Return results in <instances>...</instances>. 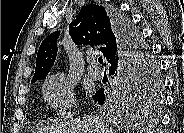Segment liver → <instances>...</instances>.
<instances>
[{
    "label": "liver",
    "mask_w": 184,
    "mask_h": 133,
    "mask_svg": "<svg viewBox=\"0 0 184 133\" xmlns=\"http://www.w3.org/2000/svg\"><path fill=\"white\" fill-rule=\"evenodd\" d=\"M143 130L145 129L142 128ZM113 131L109 128L107 121L90 115L71 119V121L63 122L56 127L43 129L44 133H112Z\"/></svg>",
    "instance_id": "obj_1"
}]
</instances>
